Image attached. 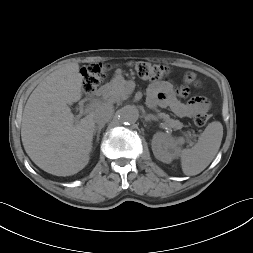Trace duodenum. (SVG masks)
Wrapping results in <instances>:
<instances>
[{"label": "duodenum", "instance_id": "duodenum-1", "mask_svg": "<svg viewBox=\"0 0 253 253\" xmlns=\"http://www.w3.org/2000/svg\"><path fill=\"white\" fill-rule=\"evenodd\" d=\"M101 93H102V90L99 91V94H101Z\"/></svg>", "mask_w": 253, "mask_h": 253}]
</instances>
